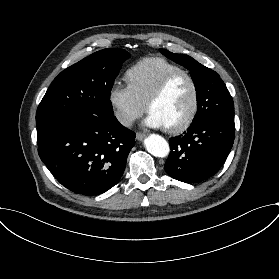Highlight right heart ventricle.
I'll use <instances>...</instances> for the list:
<instances>
[{"mask_svg":"<svg viewBox=\"0 0 279 279\" xmlns=\"http://www.w3.org/2000/svg\"><path fill=\"white\" fill-rule=\"evenodd\" d=\"M184 68L162 57H147L134 64L126 73L129 86L137 96L147 102L151 93L171 73Z\"/></svg>","mask_w":279,"mask_h":279,"instance_id":"right-heart-ventricle-1","label":"right heart ventricle"}]
</instances>
